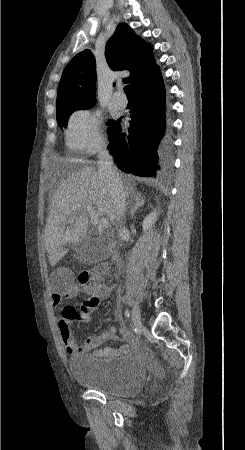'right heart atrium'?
<instances>
[{
    "instance_id": "obj_1",
    "label": "right heart atrium",
    "mask_w": 245,
    "mask_h": 450,
    "mask_svg": "<svg viewBox=\"0 0 245 450\" xmlns=\"http://www.w3.org/2000/svg\"><path fill=\"white\" fill-rule=\"evenodd\" d=\"M65 140L71 149L79 153L99 151L104 145L100 114L90 110L73 113L68 121Z\"/></svg>"
}]
</instances>
